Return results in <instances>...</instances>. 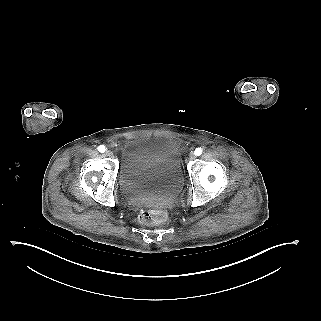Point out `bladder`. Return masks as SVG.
I'll return each instance as SVG.
<instances>
[{
    "instance_id": "31cf9c89",
    "label": "bladder",
    "mask_w": 321,
    "mask_h": 321,
    "mask_svg": "<svg viewBox=\"0 0 321 321\" xmlns=\"http://www.w3.org/2000/svg\"><path fill=\"white\" fill-rule=\"evenodd\" d=\"M118 181L125 197L137 205L168 203L184 183L180 151L168 139L141 137L125 142Z\"/></svg>"
}]
</instances>
